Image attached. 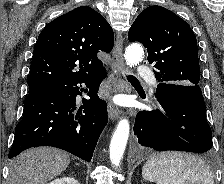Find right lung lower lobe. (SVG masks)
<instances>
[{"label": "right lung lower lobe", "instance_id": "right-lung-lower-lobe-1", "mask_svg": "<svg viewBox=\"0 0 224 184\" xmlns=\"http://www.w3.org/2000/svg\"><path fill=\"white\" fill-rule=\"evenodd\" d=\"M106 69L76 80L30 91L24 100V115L15 128L9 158L37 146H52L90 162L98 138L107 124L106 102L97 95ZM89 88V100L76 113V96L82 95L79 84Z\"/></svg>", "mask_w": 224, "mask_h": 184}]
</instances>
